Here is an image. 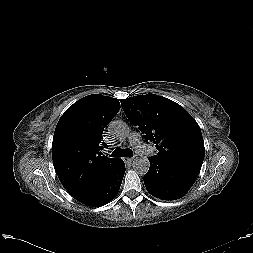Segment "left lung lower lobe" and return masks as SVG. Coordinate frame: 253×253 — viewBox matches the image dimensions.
<instances>
[{"label":"left lung lower lobe","instance_id":"1","mask_svg":"<svg viewBox=\"0 0 253 253\" xmlns=\"http://www.w3.org/2000/svg\"><path fill=\"white\" fill-rule=\"evenodd\" d=\"M150 168L144 175L147 191L162 200L183 197L192 187L202 163L187 158L150 157Z\"/></svg>","mask_w":253,"mask_h":253}]
</instances>
